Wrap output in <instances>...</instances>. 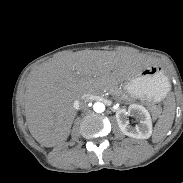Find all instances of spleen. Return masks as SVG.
<instances>
[{"label":"spleen","instance_id":"1","mask_svg":"<svg viewBox=\"0 0 183 183\" xmlns=\"http://www.w3.org/2000/svg\"><path fill=\"white\" fill-rule=\"evenodd\" d=\"M139 84V81L135 80L133 85L137 86ZM168 92L170 90V84L167 85ZM175 100L173 97H168L165 109L163 110L162 115L160 116L157 124L154 128V133L152 136V141L154 143L159 142L164 138V136L167 134V132L171 129L173 120L175 117Z\"/></svg>","mask_w":183,"mask_h":183}]
</instances>
